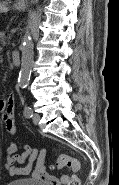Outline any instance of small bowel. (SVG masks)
<instances>
[{
  "label": "small bowel",
  "mask_w": 119,
  "mask_h": 185,
  "mask_svg": "<svg viewBox=\"0 0 119 185\" xmlns=\"http://www.w3.org/2000/svg\"><path fill=\"white\" fill-rule=\"evenodd\" d=\"M14 108L13 94H10L7 99L0 100V111L2 112V119L9 137V146L6 149V171L10 176H27L32 174L34 178L43 180L49 185H65L69 179L68 175L64 174L55 177L47 173L45 168V150L39 151L36 147H31L27 144H18L16 141ZM18 151L21 152L18 153ZM24 162H26L25 166H16L17 163Z\"/></svg>",
  "instance_id": "obj_1"
}]
</instances>
